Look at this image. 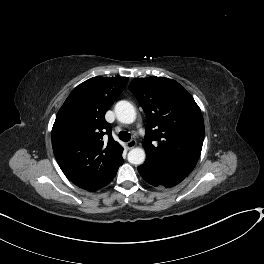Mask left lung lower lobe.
<instances>
[{
	"instance_id": "left-lung-lower-lobe-1",
	"label": "left lung lower lobe",
	"mask_w": 264,
	"mask_h": 264,
	"mask_svg": "<svg viewBox=\"0 0 264 264\" xmlns=\"http://www.w3.org/2000/svg\"><path fill=\"white\" fill-rule=\"evenodd\" d=\"M138 172L142 178L153 186L173 187L180 183L185 177L183 175L163 171L153 165L144 162L138 167Z\"/></svg>"
}]
</instances>
